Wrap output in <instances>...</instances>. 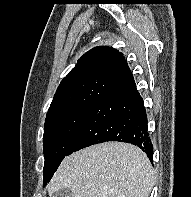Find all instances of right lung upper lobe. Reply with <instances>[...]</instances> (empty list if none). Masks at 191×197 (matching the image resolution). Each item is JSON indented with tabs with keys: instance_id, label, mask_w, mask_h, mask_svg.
<instances>
[{
	"instance_id": "right-lung-upper-lobe-1",
	"label": "right lung upper lobe",
	"mask_w": 191,
	"mask_h": 197,
	"mask_svg": "<svg viewBox=\"0 0 191 197\" xmlns=\"http://www.w3.org/2000/svg\"><path fill=\"white\" fill-rule=\"evenodd\" d=\"M133 79L123 54L107 46L86 52L61 81L47 116L66 109L95 105L114 87Z\"/></svg>"
}]
</instances>
